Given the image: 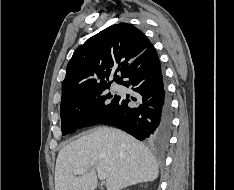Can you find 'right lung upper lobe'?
<instances>
[{
  "instance_id": "obj_1",
  "label": "right lung upper lobe",
  "mask_w": 234,
  "mask_h": 190,
  "mask_svg": "<svg viewBox=\"0 0 234 190\" xmlns=\"http://www.w3.org/2000/svg\"><path fill=\"white\" fill-rule=\"evenodd\" d=\"M149 46L142 31L128 23L112 25L89 38L73 54L62 83L61 103L83 93L110 86L111 73L118 82L126 68Z\"/></svg>"
}]
</instances>
